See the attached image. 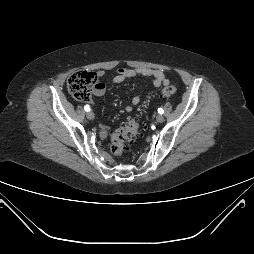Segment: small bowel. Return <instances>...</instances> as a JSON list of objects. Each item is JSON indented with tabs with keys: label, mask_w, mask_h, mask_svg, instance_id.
<instances>
[{
	"label": "small bowel",
	"mask_w": 254,
	"mask_h": 254,
	"mask_svg": "<svg viewBox=\"0 0 254 254\" xmlns=\"http://www.w3.org/2000/svg\"><path fill=\"white\" fill-rule=\"evenodd\" d=\"M99 77H102L104 75L103 71H99L97 73ZM134 77H146L151 78L153 85L158 88L161 85H168L169 81L166 78L164 72L159 69H150L147 67H139V68H119L116 71V74L114 75L112 79L113 84H119L122 83L128 79L134 78ZM106 91V85L103 82H99L98 86L94 89L93 93L95 96H102ZM141 99L138 95H135L132 98V105L136 106L140 103ZM126 111L131 112L133 107L131 105L126 106ZM101 134L104 137H107L109 135V129L106 126L101 127Z\"/></svg>",
	"instance_id": "obj_1"
}]
</instances>
